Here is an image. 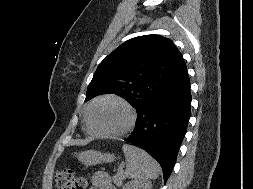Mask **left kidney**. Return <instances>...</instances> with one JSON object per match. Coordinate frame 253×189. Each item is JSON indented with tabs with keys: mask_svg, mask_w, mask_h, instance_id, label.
I'll return each mask as SVG.
<instances>
[{
	"mask_svg": "<svg viewBox=\"0 0 253 189\" xmlns=\"http://www.w3.org/2000/svg\"><path fill=\"white\" fill-rule=\"evenodd\" d=\"M151 182L144 180H132L125 184L122 189H151Z\"/></svg>",
	"mask_w": 253,
	"mask_h": 189,
	"instance_id": "1",
	"label": "left kidney"
}]
</instances>
